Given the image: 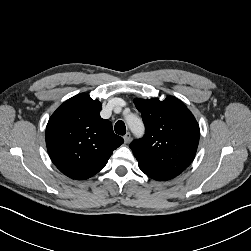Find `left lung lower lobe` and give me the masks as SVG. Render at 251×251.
Here are the masks:
<instances>
[{
    "label": "left lung lower lobe",
    "instance_id": "1",
    "mask_svg": "<svg viewBox=\"0 0 251 251\" xmlns=\"http://www.w3.org/2000/svg\"><path fill=\"white\" fill-rule=\"evenodd\" d=\"M144 173L150 178L155 179V180H160V181L174 178V176H171V175L154 174V173H148V172H144Z\"/></svg>",
    "mask_w": 251,
    "mask_h": 251
}]
</instances>
